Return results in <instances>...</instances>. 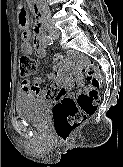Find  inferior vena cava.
I'll return each mask as SVG.
<instances>
[{
  "label": "inferior vena cava",
  "instance_id": "1",
  "mask_svg": "<svg viewBox=\"0 0 123 167\" xmlns=\"http://www.w3.org/2000/svg\"><path fill=\"white\" fill-rule=\"evenodd\" d=\"M40 3H41V7H42L43 12L50 15V10H49L48 4L45 2V0H40Z\"/></svg>",
  "mask_w": 123,
  "mask_h": 167
}]
</instances>
